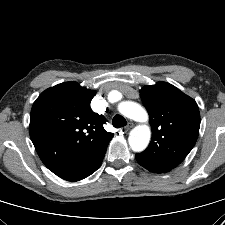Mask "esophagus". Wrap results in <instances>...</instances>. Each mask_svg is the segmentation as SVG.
Returning a JSON list of instances; mask_svg holds the SVG:
<instances>
[{"instance_id":"esophagus-1","label":"esophagus","mask_w":225,"mask_h":225,"mask_svg":"<svg viewBox=\"0 0 225 225\" xmlns=\"http://www.w3.org/2000/svg\"><path fill=\"white\" fill-rule=\"evenodd\" d=\"M131 128H133V123L129 122L125 127H124V131L128 132Z\"/></svg>"}]
</instances>
